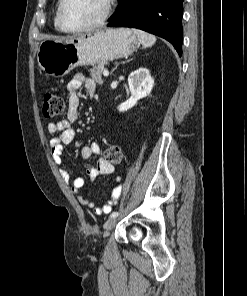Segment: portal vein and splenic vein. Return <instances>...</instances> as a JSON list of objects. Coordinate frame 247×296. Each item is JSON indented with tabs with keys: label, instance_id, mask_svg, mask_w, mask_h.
<instances>
[{
	"label": "portal vein and splenic vein",
	"instance_id": "portal-vein-and-splenic-vein-1",
	"mask_svg": "<svg viewBox=\"0 0 247 296\" xmlns=\"http://www.w3.org/2000/svg\"><path fill=\"white\" fill-rule=\"evenodd\" d=\"M103 75H104L105 77H107V76L109 75V71L105 69V70L103 71Z\"/></svg>",
	"mask_w": 247,
	"mask_h": 296
}]
</instances>
